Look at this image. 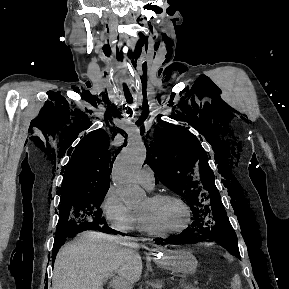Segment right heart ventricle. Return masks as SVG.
<instances>
[{
  "label": "right heart ventricle",
  "instance_id": "e07e8e85",
  "mask_svg": "<svg viewBox=\"0 0 289 289\" xmlns=\"http://www.w3.org/2000/svg\"><path fill=\"white\" fill-rule=\"evenodd\" d=\"M136 215H137V226H136V228H138V230L144 232L145 230H144V228H143V225H142V223H141V220H140V218H139V215H138V214H136Z\"/></svg>",
  "mask_w": 289,
  "mask_h": 289
}]
</instances>
